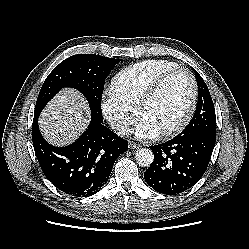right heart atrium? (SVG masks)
I'll use <instances>...</instances> for the list:
<instances>
[{
	"label": "right heart atrium",
	"instance_id": "1",
	"mask_svg": "<svg viewBox=\"0 0 249 249\" xmlns=\"http://www.w3.org/2000/svg\"><path fill=\"white\" fill-rule=\"evenodd\" d=\"M100 106L104 117L120 135L130 131L138 116L137 109L119 99L111 90L105 92Z\"/></svg>",
	"mask_w": 249,
	"mask_h": 249
}]
</instances>
